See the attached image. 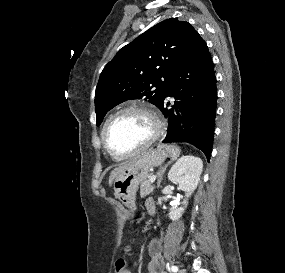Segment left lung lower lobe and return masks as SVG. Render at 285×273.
Returning <instances> with one entry per match:
<instances>
[{
    "label": "left lung lower lobe",
    "mask_w": 285,
    "mask_h": 273,
    "mask_svg": "<svg viewBox=\"0 0 285 273\" xmlns=\"http://www.w3.org/2000/svg\"><path fill=\"white\" fill-rule=\"evenodd\" d=\"M168 96L175 99L172 108ZM217 103L216 77L210 52L195 30L159 106L168 119L164 143L187 142L210 159Z\"/></svg>",
    "instance_id": "1"
}]
</instances>
